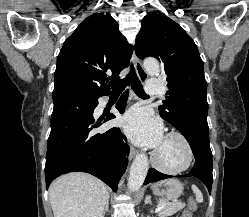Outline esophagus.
<instances>
[{
	"instance_id": "obj_1",
	"label": "esophagus",
	"mask_w": 249,
	"mask_h": 217,
	"mask_svg": "<svg viewBox=\"0 0 249 217\" xmlns=\"http://www.w3.org/2000/svg\"><path fill=\"white\" fill-rule=\"evenodd\" d=\"M132 61L134 63L135 70H136L137 75L140 78V80L143 82L146 81L148 78V75H147L145 69L143 68L140 60L137 58L135 51L133 52V55H132ZM137 153H138V151L134 147L130 146V149H129L130 159H133Z\"/></svg>"
}]
</instances>
